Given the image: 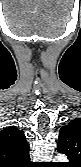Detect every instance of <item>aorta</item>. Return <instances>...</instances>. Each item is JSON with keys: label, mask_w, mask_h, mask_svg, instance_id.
I'll return each mask as SVG.
<instances>
[{"label": "aorta", "mask_w": 81, "mask_h": 167, "mask_svg": "<svg viewBox=\"0 0 81 167\" xmlns=\"http://www.w3.org/2000/svg\"><path fill=\"white\" fill-rule=\"evenodd\" d=\"M54 160L55 162H66L67 158L64 155H57Z\"/></svg>", "instance_id": "1"}]
</instances>
